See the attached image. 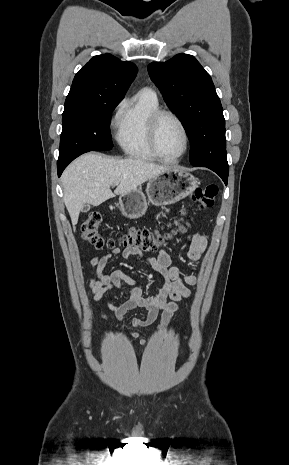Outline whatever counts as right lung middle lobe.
<instances>
[{
	"mask_svg": "<svg viewBox=\"0 0 289 465\" xmlns=\"http://www.w3.org/2000/svg\"><path fill=\"white\" fill-rule=\"evenodd\" d=\"M120 100L91 106L85 111L63 114L58 162L73 160L89 151L111 148L110 114Z\"/></svg>",
	"mask_w": 289,
	"mask_h": 465,
	"instance_id": "right-lung-middle-lobe-1",
	"label": "right lung middle lobe"
}]
</instances>
